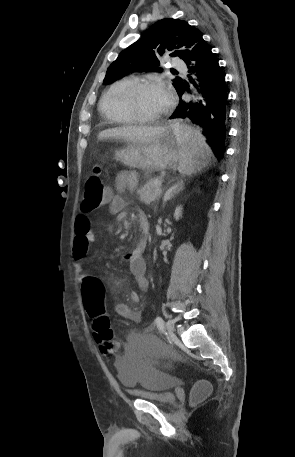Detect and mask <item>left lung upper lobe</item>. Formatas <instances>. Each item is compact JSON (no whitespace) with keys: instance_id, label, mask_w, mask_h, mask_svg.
I'll list each match as a JSON object with an SVG mask.
<instances>
[{"instance_id":"1","label":"left lung upper lobe","mask_w":295,"mask_h":457,"mask_svg":"<svg viewBox=\"0 0 295 457\" xmlns=\"http://www.w3.org/2000/svg\"><path fill=\"white\" fill-rule=\"evenodd\" d=\"M200 30L179 19H162L153 24L134 44L123 50L109 66L104 83L120 79L133 72L158 71V56L166 50L170 56H178L185 62L195 44L202 39ZM183 84L181 78L173 81L178 91Z\"/></svg>"}]
</instances>
